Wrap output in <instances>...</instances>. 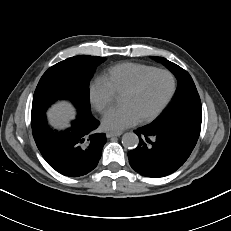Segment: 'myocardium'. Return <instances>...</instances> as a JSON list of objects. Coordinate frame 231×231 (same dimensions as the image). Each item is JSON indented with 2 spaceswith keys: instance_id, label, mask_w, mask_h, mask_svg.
<instances>
[{
  "instance_id": "myocardium-1",
  "label": "myocardium",
  "mask_w": 231,
  "mask_h": 231,
  "mask_svg": "<svg viewBox=\"0 0 231 231\" xmlns=\"http://www.w3.org/2000/svg\"><path fill=\"white\" fill-rule=\"evenodd\" d=\"M157 73H164L170 77L171 82H172L171 90H170L168 96L162 102V104L155 111H153L151 114L140 119V122H142V123H147V122L154 120L157 116H159L161 114V112L170 103V101L174 97L176 89H177V81H176L175 76L169 70L156 68V69L146 73L145 75L141 76L135 83H133L122 94V96H123V95H129V94H133V93L137 92L141 88V86L145 83L146 80H148L151 76H153L154 74H157Z\"/></svg>"
}]
</instances>
